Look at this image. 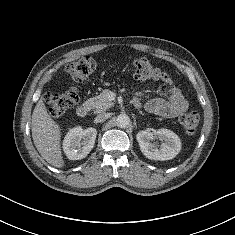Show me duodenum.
<instances>
[{
    "mask_svg": "<svg viewBox=\"0 0 235 235\" xmlns=\"http://www.w3.org/2000/svg\"><path fill=\"white\" fill-rule=\"evenodd\" d=\"M133 103H134V105H135L136 107H139V102H138L136 99H134ZM89 111H90V105H89V103H87V102L81 103V104L77 107V110H76L77 115H78L79 117H85V116L89 113Z\"/></svg>",
    "mask_w": 235,
    "mask_h": 235,
    "instance_id": "duodenum-1",
    "label": "duodenum"
}]
</instances>
